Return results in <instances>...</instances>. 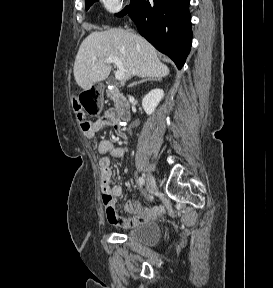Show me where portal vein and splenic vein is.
Listing matches in <instances>:
<instances>
[{
    "mask_svg": "<svg viewBox=\"0 0 273 288\" xmlns=\"http://www.w3.org/2000/svg\"><path fill=\"white\" fill-rule=\"evenodd\" d=\"M93 60H97L96 57L93 58ZM106 63H114L117 67H118V70L115 72V78L116 80H123L124 77H125V70L123 69V67L121 66V62H120V59L118 57H108L106 60H105Z\"/></svg>",
    "mask_w": 273,
    "mask_h": 288,
    "instance_id": "1",
    "label": "portal vein and splenic vein"
}]
</instances>
